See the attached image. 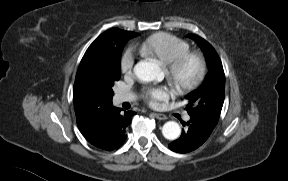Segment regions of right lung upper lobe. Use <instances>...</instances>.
Returning <instances> with one entry per match:
<instances>
[{
	"mask_svg": "<svg viewBox=\"0 0 288 181\" xmlns=\"http://www.w3.org/2000/svg\"><path fill=\"white\" fill-rule=\"evenodd\" d=\"M116 34L129 39L138 35L118 28H111L100 35L84 54L73 88L77 125L87 141L98 148H105L113 135L111 123L115 107L112 98L90 79V72L99 61L103 45Z\"/></svg>",
	"mask_w": 288,
	"mask_h": 181,
	"instance_id": "obj_1",
	"label": "right lung upper lobe"
}]
</instances>
